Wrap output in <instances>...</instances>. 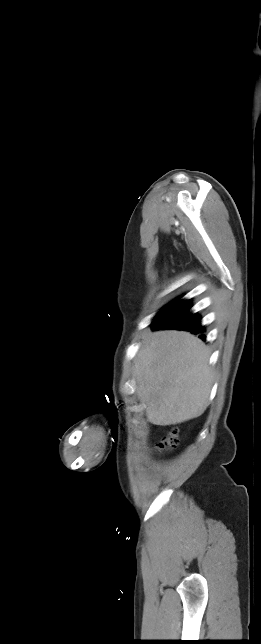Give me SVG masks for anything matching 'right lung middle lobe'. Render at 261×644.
I'll return each mask as SVG.
<instances>
[{"label":"right lung middle lobe","instance_id":"dd1d6c3e","mask_svg":"<svg viewBox=\"0 0 261 644\" xmlns=\"http://www.w3.org/2000/svg\"><path fill=\"white\" fill-rule=\"evenodd\" d=\"M180 298L175 299L169 305L165 306L162 311L156 316L155 321L161 320L169 314L175 312L181 307L185 306L190 302V300L179 302Z\"/></svg>","mask_w":261,"mask_h":644}]
</instances>
